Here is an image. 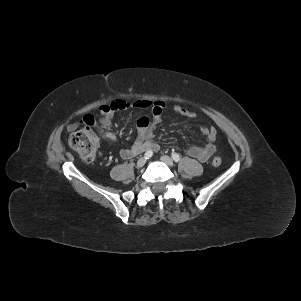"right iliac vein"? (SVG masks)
Masks as SVG:
<instances>
[{
  "label": "right iliac vein",
  "mask_w": 301,
  "mask_h": 301,
  "mask_svg": "<svg viewBox=\"0 0 301 301\" xmlns=\"http://www.w3.org/2000/svg\"><path fill=\"white\" fill-rule=\"evenodd\" d=\"M146 163V158L145 157H141L138 161H137V168H141L145 165Z\"/></svg>",
  "instance_id": "63e3f726"
}]
</instances>
